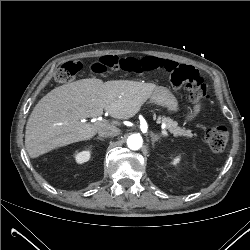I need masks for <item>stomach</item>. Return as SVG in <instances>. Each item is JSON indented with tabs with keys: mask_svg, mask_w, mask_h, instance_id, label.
I'll return each instance as SVG.
<instances>
[{
	"mask_svg": "<svg viewBox=\"0 0 250 250\" xmlns=\"http://www.w3.org/2000/svg\"><path fill=\"white\" fill-rule=\"evenodd\" d=\"M150 101L166 107L170 112L179 111V103L177 98L165 87H157L150 96Z\"/></svg>",
	"mask_w": 250,
	"mask_h": 250,
	"instance_id": "stomach-1",
	"label": "stomach"
}]
</instances>
